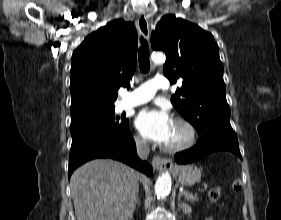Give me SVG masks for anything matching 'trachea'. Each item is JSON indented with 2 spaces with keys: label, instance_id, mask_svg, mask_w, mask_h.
<instances>
[{
  "label": "trachea",
  "instance_id": "1",
  "mask_svg": "<svg viewBox=\"0 0 281 220\" xmlns=\"http://www.w3.org/2000/svg\"><path fill=\"white\" fill-rule=\"evenodd\" d=\"M141 47L139 48L138 58H139V68L142 73H147L150 70L149 61V47L147 41L141 37Z\"/></svg>",
  "mask_w": 281,
  "mask_h": 220
}]
</instances>
